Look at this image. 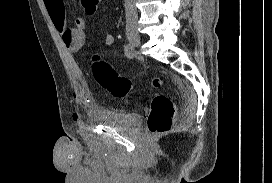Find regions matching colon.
<instances>
[{"mask_svg": "<svg viewBox=\"0 0 272 183\" xmlns=\"http://www.w3.org/2000/svg\"><path fill=\"white\" fill-rule=\"evenodd\" d=\"M87 13L96 11L100 0H81ZM92 72L95 80L113 96L117 98L126 97L133 88L130 79L119 75L116 70L107 62L94 58ZM161 80L154 78L152 86L158 88ZM175 106L172 100L165 95H157L151 102L150 113L147 121L149 132L154 136L167 133L173 124Z\"/></svg>", "mask_w": 272, "mask_h": 183, "instance_id": "5ec220e1", "label": "colon"}]
</instances>
